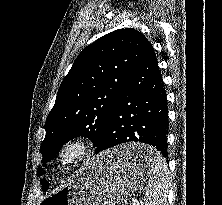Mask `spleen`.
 <instances>
[{
  "instance_id": "spleen-1",
  "label": "spleen",
  "mask_w": 222,
  "mask_h": 205,
  "mask_svg": "<svg viewBox=\"0 0 222 205\" xmlns=\"http://www.w3.org/2000/svg\"><path fill=\"white\" fill-rule=\"evenodd\" d=\"M149 173L144 188L145 197L138 205H166L167 199V165L158 153L149 165Z\"/></svg>"
}]
</instances>
